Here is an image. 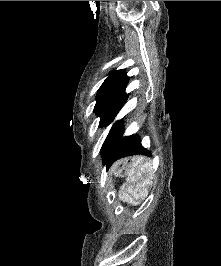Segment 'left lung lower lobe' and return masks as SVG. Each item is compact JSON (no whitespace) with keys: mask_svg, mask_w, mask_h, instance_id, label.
Returning <instances> with one entry per match:
<instances>
[{"mask_svg":"<svg viewBox=\"0 0 221 266\" xmlns=\"http://www.w3.org/2000/svg\"><path fill=\"white\" fill-rule=\"evenodd\" d=\"M123 132L122 120L116 121L101 148L102 161L107 167L116 160L127 156L151 154L141 145L138 135L123 137Z\"/></svg>","mask_w":221,"mask_h":266,"instance_id":"1","label":"left lung lower lobe"}]
</instances>
